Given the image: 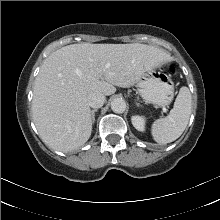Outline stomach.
<instances>
[{"instance_id": "0dacf381", "label": "stomach", "mask_w": 220, "mask_h": 220, "mask_svg": "<svg viewBox=\"0 0 220 220\" xmlns=\"http://www.w3.org/2000/svg\"><path fill=\"white\" fill-rule=\"evenodd\" d=\"M141 97L158 107L168 106L174 95V85L169 75L155 70L145 73L137 82Z\"/></svg>"}]
</instances>
